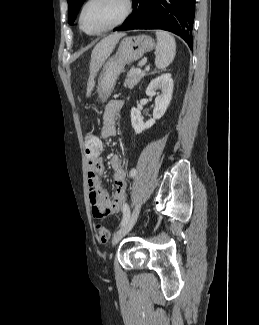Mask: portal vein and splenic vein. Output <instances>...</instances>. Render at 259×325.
Instances as JSON below:
<instances>
[{
  "instance_id": "1",
  "label": "portal vein and splenic vein",
  "mask_w": 259,
  "mask_h": 325,
  "mask_svg": "<svg viewBox=\"0 0 259 325\" xmlns=\"http://www.w3.org/2000/svg\"><path fill=\"white\" fill-rule=\"evenodd\" d=\"M146 70H149V68H148V67H146ZM136 72H137V73H141L142 71H141V69H140V68H138V69H136Z\"/></svg>"
}]
</instances>
